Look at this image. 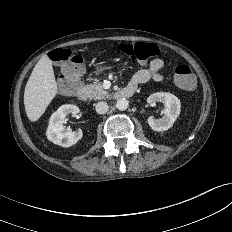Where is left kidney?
Segmentation results:
<instances>
[{"mask_svg":"<svg viewBox=\"0 0 232 232\" xmlns=\"http://www.w3.org/2000/svg\"><path fill=\"white\" fill-rule=\"evenodd\" d=\"M147 101L150 104L162 102L165 107L162 118L154 119L152 116L148 118L151 129L154 131H166L171 128L180 114L181 102L178 97L167 92H157L150 95Z\"/></svg>","mask_w":232,"mask_h":232,"instance_id":"obj_1","label":"left kidney"}]
</instances>
